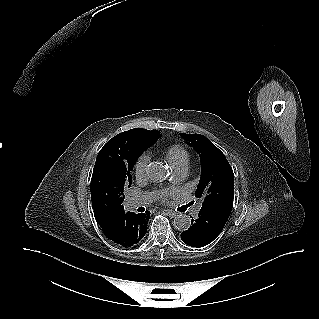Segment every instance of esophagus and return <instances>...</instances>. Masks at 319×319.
Segmentation results:
<instances>
[{
	"label": "esophagus",
	"instance_id": "obj_1",
	"mask_svg": "<svg viewBox=\"0 0 319 319\" xmlns=\"http://www.w3.org/2000/svg\"><path fill=\"white\" fill-rule=\"evenodd\" d=\"M164 211H165V213H166L168 216H170V217H175V216L177 215V213L174 212V211H172V210L166 209V210H164Z\"/></svg>",
	"mask_w": 319,
	"mask_h": 319
}]
</instances>
